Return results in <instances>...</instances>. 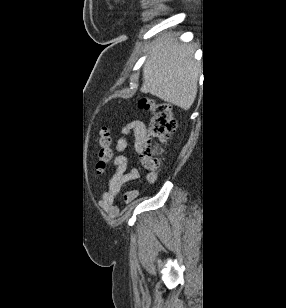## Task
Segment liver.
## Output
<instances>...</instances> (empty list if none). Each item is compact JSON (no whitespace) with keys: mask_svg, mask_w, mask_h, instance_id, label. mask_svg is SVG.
<instances>
[{"mask_svg":"<svg viewBox=\"0 0 286 308\" xmlns=\"http://www.w3.org/2000/svg\"><path fill=\"white\" fill-rule=\"evenodd\" d=\"M177 37L164 33L153 41L140 91L188 110L197 96L200 66L193 58L194 49L179 43Z\"/></svg>","mask_w":286,"mask_h":308,"instance_id":"6515ba94","label":"liver"}]
</instances>
